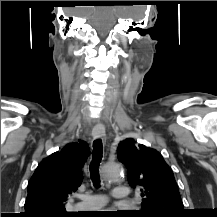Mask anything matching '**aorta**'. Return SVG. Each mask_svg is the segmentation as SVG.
Segmentation results:
<instances>
[{
    "label": "aorta",
    "mask_w": 217,
    "mask_h": 217,
    "mask_svg": "<svg viewBox=\"0 0 217 217\" xmlns=\"http://www.w3.org/2000/svg\"><path fill=\"white\" fill-rule=\"evenodd\" d=\"M102 174L105 181H118L121 179L122 168L119 164H105L102 168Z\"/></svg>",
    "instance_id": "obj_1"
}]
</instances>
